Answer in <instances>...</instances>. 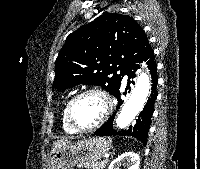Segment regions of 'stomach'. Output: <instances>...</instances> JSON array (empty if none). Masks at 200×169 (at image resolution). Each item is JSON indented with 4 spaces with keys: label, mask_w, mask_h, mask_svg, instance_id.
Wrapping results in <instances>:
<instances>
[{
    "label": "stomach",
    "mask_w": 200,
    "mask_h": 169,
    "mask_svg": "<svg viewBox=\"0 0 200 169\" xmlns=\"http://www.w3.org/2000/svg\"><path fill=\"white\" fill-rule=\"evenodd\" d=\"M111 140L93 137L74 145L61 146L51 151L50 169H73L76 165L96 163L110 149Z\"/></svg>",
    "instance_id": "0dacf381"
}]
</instances>
